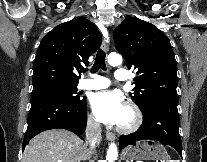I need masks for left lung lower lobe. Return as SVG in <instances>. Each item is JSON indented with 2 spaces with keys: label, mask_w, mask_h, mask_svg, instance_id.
Wrapping results in <instances>:
<instances>
[{
  "label": "left lung lower lobe",
  "mask_w": 207,
  "mask_h": 162,
  "mask_svg": "<svg viewBox=\"0 0 207 162\" xmlns=\"http://www.w3.org/2000/svg\"><path fill=\"white\" fill-rule=\"evenodd\" d=\"M178 100L158 98L153 100L143 113V125L135 133L122 135L119 149L139 140H156L173 147L182 157L179 135Z\"/></svg>",
  "instance_id": "0a47b994"
}]
</instances>
